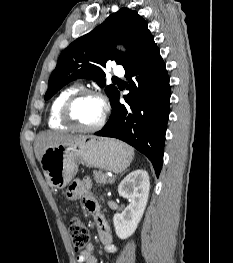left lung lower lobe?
<instances>
[{
    "label": "left lung lower lobe",
    "mask_w": 233,
    "mask_h": 263,
    "mask_svg": "<svg viewBox=\"0 0 233 263\" xmlns=\"http://www.w3.org/2000/svg\"><path fill=\"white\" fill-rule=\"evenodd\" d=\"M129 81L119 103L120 93L111 103L110 120L95 135L120 139L147 156L157 176L162 163L170 110V85L165 63L154 39L125 68Z\"/></svg>",
    "instance_id": "0a47b994"
}]
</instances>
